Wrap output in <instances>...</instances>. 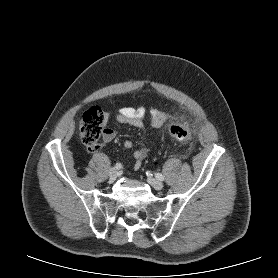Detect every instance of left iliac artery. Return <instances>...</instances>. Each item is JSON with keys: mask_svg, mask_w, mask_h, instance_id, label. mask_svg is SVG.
Returning a JSON list of instances; mask_svg holds the SVG:
<instances>
[{"mask_svg": "<svg viewBox=\"0 0 278 278\" xmlns=\"http://www.w3.org/2000/svg\"><path fill=\"white\" fill-rule=\"evenodd\" d=\"M155 176H156V178H157L158 180H161V181L164 180V176H163L162 174H160V173H156Z\"/></svg>", "mask_w": 278, "mask_h": 278, "instance_id": "44dca946", "label": "left iliac artery"}]
</instances>
